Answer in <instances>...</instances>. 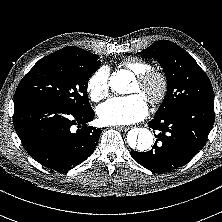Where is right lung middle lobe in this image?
I'll use <instances>...</instances> for the list:
<instances>
[{
    "mask_svg": "<svg viewBox=\"0 0 222 222\" xmlns=\"http://www.w3.org/2000/svg\"><path fill=\"white\" fill-rule=\"evenodd\" d=\"M88 51L54 52L39 60L19 83L14 99L40 98L71 110L91 108L87 85L101 62Z\"/></svg>",
    "mask_w": 222,
    "mask_h": 222,
    "instance_id": "obj_1",
    "label": "right lung middle lobe"
}]
</instances>
